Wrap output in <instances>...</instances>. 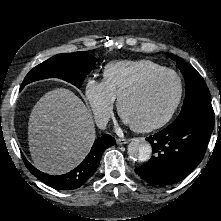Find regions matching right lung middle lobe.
<instances>
[{
    "instance_id": "obj_1",
    "label": "right lung middle lobe",
    "mask_w": 221,
    "mask_h": 221,
    "mask_svg": "<svg viewBox=\"0 0 221 221\" xmlns=\"http://www.w3.org/2000/svg\"><path fill=\"white\" fill-rule=\"evenodd\" d=\"M96 61L95 57L85 52L56 55L33 68L26 75L20 90L33 81L53 77L63 79L80 88Z\"/></svg>"
}]
</instances>
